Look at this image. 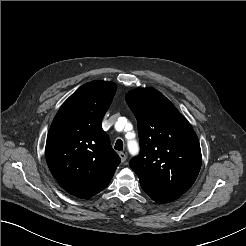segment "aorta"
I'll return each mask as SVG.
<instances>
[{
  "label": "aorta",
  "mask_w": 246,
  "mask_h": 246,
  "mask_svg": "<svg viewBox=\"0 0 246 246\" xmlns=\"http://www.w3.org/2000/svg\"><path fill=\"white\" fill-rule=\"evenodd\" d=\"M128 149L132 155H135L139 151L138 143L135 140H129Z\"/></svg>",
  "instance_id": "aorta-1"
}]
</instances>
